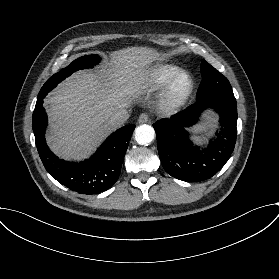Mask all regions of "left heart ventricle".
Segmentation results:
<instances>
[{"mask_svg": "<svg viewBox=\"0 0 279 279\" xmlns=\"http://www.w3.org/2000/svg\"><path fill=\"white\" fill-rule=\"evenodd\" d=\"M186 84H187V81H186V79L183 77V78L179 81V83H178V85H177L178 90H179V91L183 90V89L186 87Z\"/></svg>", "mask_w": 279, "mask_h": 279, "instance_id": "left-heart-ventricle-1", "label": "left heart ventricle"}]
</instances>
